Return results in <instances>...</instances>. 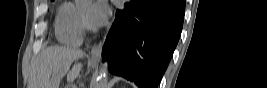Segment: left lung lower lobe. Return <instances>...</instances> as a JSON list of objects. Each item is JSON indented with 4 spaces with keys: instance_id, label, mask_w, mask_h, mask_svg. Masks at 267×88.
Wrapping results in <instances>:
<instances>
[{
    "instance_id": "1",
    "label": "left lung lower lobe",
    "mask_w": 267,
    "mask_h": 88,
    "mask_svg": "<svg viewBox=\"0 0 267 88\" xmlns=\"http://www.w3.org/2000/svg\"><path fill=\"white\" fill-rule=\"evenodd\" d=\"M184 10V0L125 3L103 47L110 72L139 88H157L180 38Z\"/></svg>"
}]
</instances>
